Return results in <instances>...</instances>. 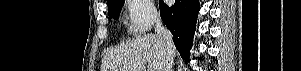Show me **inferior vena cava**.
I'll return each mask as SVG.
<instances>
[{
    "label": "inferior vena cava",
    "mask_w": 301,
    "mask_h": 71,
    "mask_svg": "<svg viewBox=\"0 0 301 71\" xmlns=\"http://www.w3.org/2000/svg\"><path fill=\"white\" fill-rule=\"evenodd\" d=\"M155 32L162 40L163 46V61L161 71H171L173 65V35L164 26L161 18L156 17L155 20Z\"/></svg>",
    "instance_id": "1"
}]
</instances>
